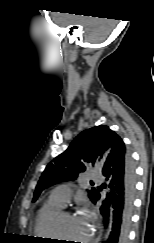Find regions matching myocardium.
I'll list each match as a JSON object with an SVG mask.
<instances>
[{"mask_svg": "<svg viewBox=\"0 0 154 243\" xmlns=\"http://www.w3.org/2000/svg\"><path fill=\"white\" fill-rule=\"evenodd\" d=\"M65 214H69L70 213H65ZM62 214L56 216L54 222H53V230H54V236L57 240H60V241H63V236L61 234V230H60V224H59V221H60V217H61ZM92 238V234H90L86 239L83 240V243H89L90 240Z\"/></svg>", "mask_w": 154, "mask_h": 243, "instance_id": "f54148a6", "label": "myocardium"}]
</instances>
